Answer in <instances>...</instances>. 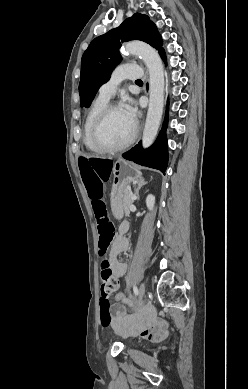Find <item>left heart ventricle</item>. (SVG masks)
Masks as SVG:
<instances>
[{
  "label": "left heart ventricle",
  "mask_w": 248,
  "mask_h": 389,
  "mask_svg": "<svg viewBox=\"0 0 248 389\" xmlns=\"http://www.w3.org/2000/svg\"><path fill=\"white\" fill-rule=\"evenodd\" d=\"M134 124L121 108L113 110L101 132L103 141L110 145H118L126 141L132 134Z\"/></svg>",
  "instance_id": "obj_1"
}]
</instances>
